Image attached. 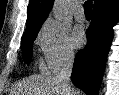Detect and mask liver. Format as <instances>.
Returning a JSON list of instances; mask_svg holds the SVG:
<instances>
[{"instance_id":"obj_1","label":"liver","mask_w":119,"mask_h":95,"mask_svg":"<svg viewBox=\"0 0 119 95\" xmlns=\"http://www.w3.org/2000/svg\"><path fill=\"white\" fill-rule=\"evenodd\" d=\"M22 95H82L79 90L68 89L64 81L53 75H39L24 81L20 86Z\"/></svg>"}]
</instances>
